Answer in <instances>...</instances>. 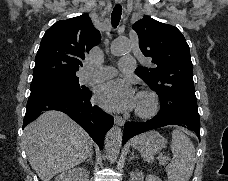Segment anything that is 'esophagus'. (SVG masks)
<instances>
[{
    "label": "esophagus",
    "mask_w": 228,
    "mask_h": 181,
    "mask_svg": "<svg viewBox=\"0 0 228 181\" xmlns=\"http://www.w3.org/2000/svg\"><path fill=\"white\" fill-rule=\"evenodd\" d=\"M117 3H120L122 0H115ZM114 121L117 125L123 126L125 123V120L121 116H115Z\"/></svg>",
    "instance_id": "1"
}]
</instances>
